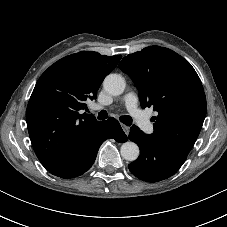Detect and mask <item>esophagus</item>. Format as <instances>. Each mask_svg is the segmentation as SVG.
I'll list each match as a JSON object with an SVG mask.
<instances>
[{
	"mask_svg": "<svg viewBox=\"0 0 227 227\" xmlns=\"http://www.w3.org/2000/svg\"><path fill=\"white\" fill-rule=\"evenodd\" d=\"M121 127L124 130L125 134L128 136L130 128L124 124H121Z\"/></svg>",
	"mask_w": 227,
	"mask_h": 227,
	"instance_id": "34e87169",
	"label": "esophagus"
}]
</instances>
